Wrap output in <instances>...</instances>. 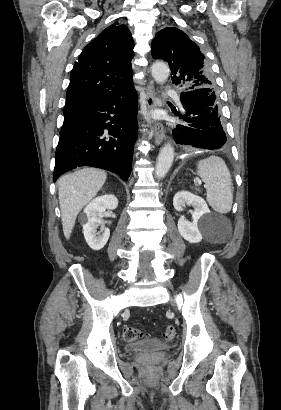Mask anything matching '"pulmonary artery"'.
<instances>
[{"mask_svg": "<svg viewBox=\"0 0 281 410\" xmlns=\"http://www.w3.org/2000/svg\"><path fill=\"white\" fill-rule=\"evenodd\" d=\"M166 92H167V93H173V90L170 89V88H168V89H166ZM178 103L180 104V101H178Z\"/></svg>", "mask_w": 281, "mask_h": 410, "instance_id": "obj_1", "label": "pulmonary artery"}]
</instances>
